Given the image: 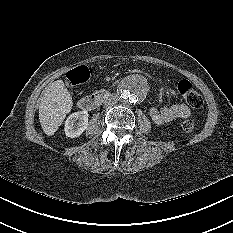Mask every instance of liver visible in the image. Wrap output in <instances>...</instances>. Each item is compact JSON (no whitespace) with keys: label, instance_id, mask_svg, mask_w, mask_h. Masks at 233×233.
<instances>
[{"label":"liver","instance_id":"liver-1","mask_svg":"<svg viewBox=\"0 0 233 233\" xmlns=\"http://www.w3.org/2000/svg\"><path fill=\"white\" fill-rule=\"evenodd\" d=\"M73 106L72 96L62 80L51 83L39 105V120L44 133L53 135Z\"/></svg>","mask_w":233,"mask_h":233}]
</instances>
